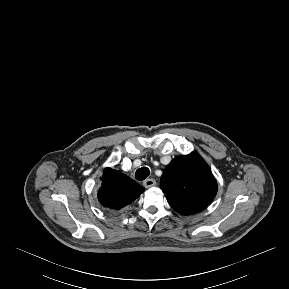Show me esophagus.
I'll list each match as a JSON object with an SVG mask.
<instances>
[{
  "instance_id": "1",
  "label": "esophagus",
  "mask_w": 289,
  "mask_h": 289,
  "mask_svg": "<svg viewBox=\"0 0 289 289\" xmlns=\"http://www.w3.org/2000/svg\"><path fill=\"white\" fill-rule=\"evenodd\" d=\"M143 185L144 187L146 188H150V187H153L156 185V181L152 178H149V179H146L144 182H143Z\"/></svg>"
}]
</instances>
